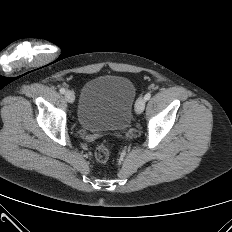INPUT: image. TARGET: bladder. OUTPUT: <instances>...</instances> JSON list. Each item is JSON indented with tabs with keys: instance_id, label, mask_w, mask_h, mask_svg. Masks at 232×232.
Returning <instances> with one entry per match:
<instances>
[{
	"instance_id": "obj_1",
	"label": "bladder",
	"mask_w": 232,
	"mask_h": 232,
	"mask_svg": "<svg viewBox=\"0 0 232 232\" xmlns=\"http://www.w3.org/2000/svg\"><path fill=\"white\" fill-rule=\"evenodd\" d=\"M136 100L131 80L118 75H104L88 80L77 107L79 125L92 132L123 131L131 121Z\"/></svg>"
}]
</instances>
